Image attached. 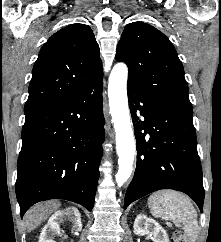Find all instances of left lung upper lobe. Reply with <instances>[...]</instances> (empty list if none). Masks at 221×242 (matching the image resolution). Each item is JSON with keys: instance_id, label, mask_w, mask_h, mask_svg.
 Wrapping results in <instances>:
<instances>
[{"instance_id": "1", "label": "left lung upper lobe", "mask_w": 221, "mask_h": 242, "mask_svg": "<svg viewBox=\"0 0 221 242\" xmlns=\"http://www.w3.org/2000/svg\"><path fill=\"white\" fill-rule=\"evenodd\" d=\"M116 60L127 64L129 85L160 105L192 115L183 65L159 30L143 22L126 25Z\"/></svg>"}]
</instances>
